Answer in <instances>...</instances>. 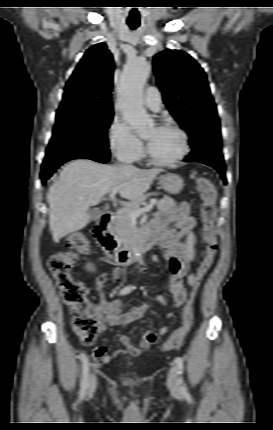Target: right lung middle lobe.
<instances>
[{
	"label": "right lung middle lobe",
	"instance_id": "dd1d6c3e",
	"mask_svg": "<svg viewBox=\"0 0 273 430\" xmlns=\"http://www.w3.org/2000/svg\"><path fill=\"white\" fill-rule=\"evenodd\" d=\"M112 119L113 110L58 109L43 166L77 155L109 153L107 128Z\"/></svg>",
	"mask_w": 273,
	"mask_h": 430
}]
</instances>
